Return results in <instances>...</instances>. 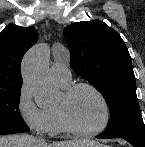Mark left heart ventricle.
Masks as SVG:
<instances>
[{
  "mask_svg": "<svg viewBox=\"0 0 145 147\" xmlns=\"http://www.w3.org/2000/svg\"><path fill=\"white\" fill-rule=\"evenodd\" d=\"M56 105H63L71 123L81 130L95 129L104 120L105 112L101 101L88 89L78 90L68 100H64L61 95Z\"/></svg>",
  "mask_w": 145,
  "mask_h": 147,
  "instance_id": "b2bd125f",
  "label": "left heart ventricle"
}]
</instances>
